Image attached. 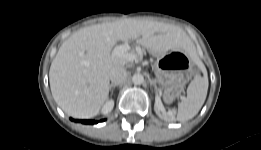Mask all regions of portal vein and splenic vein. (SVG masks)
<instances>
[{"label": "portal vein and splenic vein", "mask_w": 261, "mask_h": 150, "mask_svg": "<svg viewBox=\"0 0 261 150\" xmlns=\"http://www.w3.org/2000/svg\"><path fill=\"white\" fill-rule=\"evenodd\" d=\"M130 50L129 44H123L116 46L113 50V53L118 57H124L127 58L129 61H133L136 59L135 54H128V51Z\"/></svg>", "instance_id": "portal-vein-and-splenic-vein-1"}]
</instances>
